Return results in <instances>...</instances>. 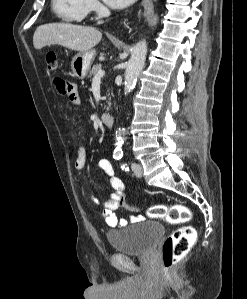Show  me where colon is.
<instances>
[{
  "instance_id": "5ec220e1",
  "label": "colon",
  "mask_w": 247,
  "mask_h": 299,
  "mask_svg": "<svg viewBox=\"0 0 247 299\" xmlns=\"http://www.w3.org/2000/svg\"><path fill=\"white\" fill-rule=\"evenodd\" d=\"M48 71L58 69V58L55 52L49 51L45 55ZM150 218L163 219L171 225H179L190 218L189 209L182 204L155 205L147 210ZM196 239V231L191 226H181L174 230L162 245V263L165 270L173 268L189 251Z\"/></svg>"
}]
</instances>
